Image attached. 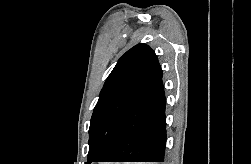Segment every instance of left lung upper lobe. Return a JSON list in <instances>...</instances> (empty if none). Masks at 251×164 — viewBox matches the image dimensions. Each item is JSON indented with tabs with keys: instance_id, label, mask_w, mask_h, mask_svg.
Wrapping results in <instances>:
<instances>
[{
	"instance_id": "1",
	"label": "left lung upper lobe",
	"mask_w": 251,
	"mask_h": 164,
	"mask_svg": "<svg viewBox=\"0 0 251 164\" xmlns=\"http://www.w3.org/2000/svg\"><path fill=\"white\" fill-rule=\"evenodd\" d=\"M161 77L157 56L146 44L132 47L119 59L106 79L93 111L86 164L102 162L108 157L126 114Z\"/></svg>"
}]
</instances>
